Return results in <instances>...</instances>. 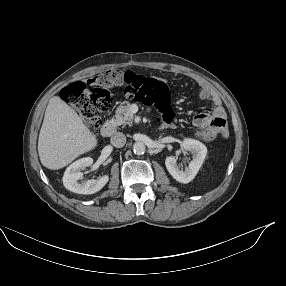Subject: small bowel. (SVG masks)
Listing matches in <instances>:
<instances>
[{
  "label": "small bowel",
  "instance_id": "small-bowel-1",
  "mask_svg": "<svg viewBox=\"0 0 286 286\" xmlns=\"http://www.w3.org/2000/svg\"><path fill=\"white\" fill-rule=\"evenodd\" d=\"M123 81H124L123 80V73H117V77L112 81V83L119 84ZM199 96L204 100H211L213 102V104L215 105V107L213 109L209 108V109H205V110L199 112L195 117L196 125L199 126L197 119H203V118L208 117V116H215L223 122L225 128L227 129L226 114H225L224 108L222 107V100H221L220 95L217 92H215L208 84L200 83L199 84ZM122 106H123V108L117 110L115 115H114L115 120L118 122L123 121L127 117V115H128L127 110L132 108L133 103L131 100L126 99L123 101ZM169 124H170V122L164 121L163 124L161 125V127L162 128L169 127L170 126ZM198 135H199V133H198Z\"/></svg>",
  "mask_w": 286,
  "mask_h": 286
}]
</instances>
